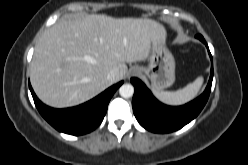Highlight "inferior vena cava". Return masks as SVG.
I'll list each match as a JSON object with an SVG mask.
<instances>
[{"instance_id":"inferior-vena-cava-1","label":"inferior vena cava","mask_w":248,"mask_h":165,"mask_svg":"<svg viewBox=\"0 0 248 165\" xmlns=\"http://www.w3.org/2000/svg\"><path fill=\"white\" fill-rule=\"evenodd\" d=\"M116 76H117V74H116L115 71H110V72L108 73V75H107V79H108L111 83H113V82H115V80H116Z\"/></svg>"}]
</instances>
